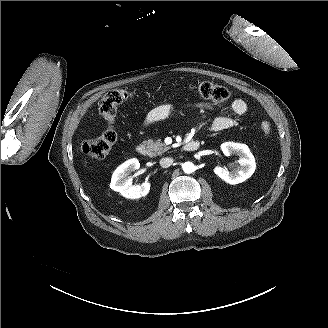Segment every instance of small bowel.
<instances>
[{"mask_svg": "<svg viewBox=\"0 0 328 328\" xmlns=\"http://www.w3.org/2000/svg\"><path fill=\"white\" fill-rule=\"evenodd\" d=\"M194 109H210L211 104L207 102H199L191 105ZM232 111L237 115L241 116L247 111V104L242 99H235L231 104ZM174 107L170 104H163L153 108L144 119V126L152 125L156 122L166 119L172 114ZM238 125V119L221 116L213 119L210 123V129L213 131H223Z\"/></svg>", "mask_w": 328, "mask_h": 328, "instance_id": "obj_1", "label": "small bowel"}]
</instances>
